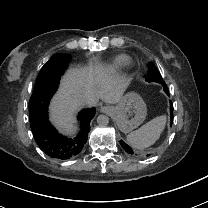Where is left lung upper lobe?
<instances>
[{"mask_svg": "<svg viewBox=\"0 0 208 208\" xmlns=\"http://www.w3.org/2000/svg\"><path fill=\"white\" fill-rule=\"evenodd\" d=\"M146 80L148 82H152V81L158 82L164 86V89H167V86H166L161 74L159 73V71L157 70V68L155 67V65L153 63H151L149 66Z\"/></svg>", "mask_w": 208, "mask_h": 208, "instance_id": "obj_1", "label": "left lung upper lobe"}]
</instances>
